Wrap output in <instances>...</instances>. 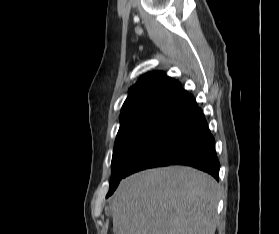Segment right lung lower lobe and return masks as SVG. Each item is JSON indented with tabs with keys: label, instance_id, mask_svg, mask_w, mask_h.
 <instances>
[{
	"label": "right lung lower lobe",
	"instance_id": "98d812e1",
	"mask_svg": "<svg viewBox=\"0 0 279 234\" xmlns=\"http://www.w3.org/2000/svg\"><path fill=\"white\" fill-rule=\"evenodd\" d=\"M168 165H188L219 179L215 141L202 110L191 94L175 104L137 150L125 177Z\"/></svg>",
	"mask_w": 279,
	"mask_h": 234
}]
</instances>
